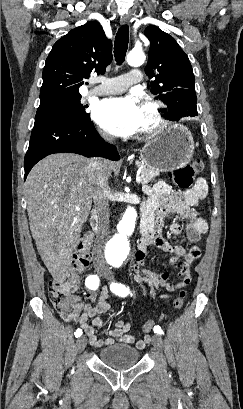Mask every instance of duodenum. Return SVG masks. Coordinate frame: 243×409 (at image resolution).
<instances>
[{"label":"duodenum","mask_w":243,"mask_h":409,"mask_svg":"<svg viewBox=\"0 0 243 409\" xmlns=\"http://www.w3.org/2000/svg\"><path fill=\"white\" fill-rule=\"evenodd\" d=\"M91 224L96 232L100 229V214L98 210L92 212ZM155 217L150 210L143 211L141 220V233L143 238L148 237L155 229Z\"/></svg>","instance_id":"1"}]
</instances>
